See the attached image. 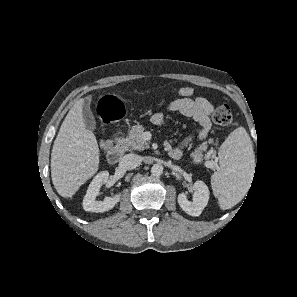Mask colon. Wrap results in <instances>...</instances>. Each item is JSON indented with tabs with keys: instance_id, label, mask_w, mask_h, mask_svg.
Wrapping results in <instances>:
<instances>
[{
	"instance_id": "5ec220e1",
	"label": "colon",
	"mask_w": 297,
	"mask_h": 297,
	"mask_svg": "<svg viewBox=\"0 0 297 297\" xmlns=\"http://www.w3.org/2000/svg\"><path fill=\"white\" fill-rule=\"evenodd\" d=\"M195 94L192 87H183L178 90V95L181 98H191ZM96 114L99 119L100 125L103 128L116 123L123 116V106L120 100L115 96L106 95L102 97L97 105ZM213 121L217 125H228L232 121L231 108L227 104L218 105L212 115ZM109 141L104 139L102 141V148L107 149Z\"/></svg>"
}]
</instances>
